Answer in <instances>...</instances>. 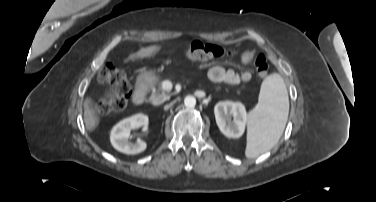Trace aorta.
<instances>
[{"label":"aorta","instance_id":"obj_1","mask_svg":"<svg viewBox=\"0 0 376 202\" xmlns=\"http://www.w3.org/2000/svg\"><path fill=\"white\" fill-rule=\"evenodd\" d=\"M184 104L186 107L192 108L196 105V98L194 96L188 95L184 99Z\"/></svg>","mask_w":376,"mask_h":202}]
</instances>
